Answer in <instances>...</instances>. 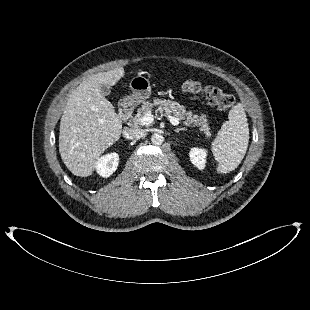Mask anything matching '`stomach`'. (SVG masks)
Here are the masks:
<instances>
[{
	"label": "stomach",
	"mask_w": 310,
	"mask_h": 310,
	"mask_svg": "<svg viewBox=\"0 0 310 310\" xmlns=\"http://www.w3.org/2000/svg\"><path fill=\"white\" fill-rule=\"evenodd\" d=\"M130 89L132 91V100L144 101L151 95V85L144 76L133 77L130 81Z\"/></svg>",
	"instance_id": "0dacf381"
}]
</instances>
